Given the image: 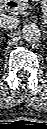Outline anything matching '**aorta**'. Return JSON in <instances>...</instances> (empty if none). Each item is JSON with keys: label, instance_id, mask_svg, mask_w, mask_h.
I'll return each instance as SVG.
<instances>
[{"label": "aorta", "instance_id": "obj_1", "mask_svg": "<svg viewBox=\"0 0 47 129\" xmlns=\"http://www.w3.org/2000/svg\"><path fill=\"white\" fill-rule=\"evenodd\" d=\"M21 34L26 42L35 43L40 40L41 30L35 24H27L23 26Z\"/></svg>", "mask_w": 47, "mask_h": 129}]
</instances>
